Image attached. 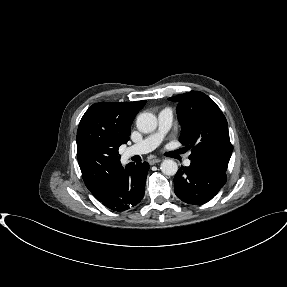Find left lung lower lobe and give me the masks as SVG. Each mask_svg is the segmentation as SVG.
<instances>
[{"label":"left lung lower lobe","instance_id":"1","mask_svg":"<svg viewBox=\"0 0 287 287\" xmlns=\"http://www.w3.org/2000/svg\"><path fill=\"white\" fill-rule=\"evenodd\" d=\"M227 166L209 160H191L174 178V192L183 202L200 205L211 200L227 180Z\"/></svg>","mask_w":287,"mask_h":287}]
</instances>
